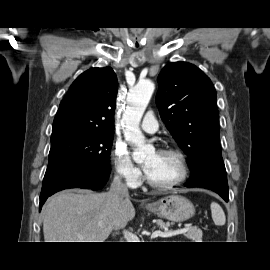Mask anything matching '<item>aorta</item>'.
Here are the masks:
<instances>
[{"label":"aorta","mask_w":270,"mask_h":270,"mask_svg":"<svg viewBox=\"0 0 270 270\" xmlns=\"http://www.w3.org/2000/svg\"><path fill=\"white\" fill-rule=\"evenodd\" d=\"M154 89L155 86L151 80L139 81L128 93L127 107L122 117L126 125L125 139L137 147L133 153V159L137 162L144 160L147 155L153 154L155 150L152 145L145 144V137L139 128Z\"/></svg>","instance_id":"1"}]
</instances>
